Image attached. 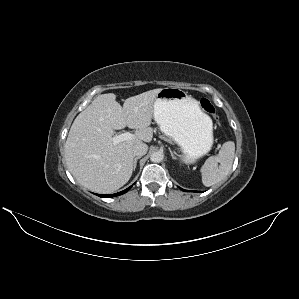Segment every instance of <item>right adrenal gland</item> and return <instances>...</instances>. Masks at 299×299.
Here are the masks:
<instances>
[{
    "label": "right adrenal gland",
    "instance_id": "right-adrenal-gland-1",
    "mask_svg": "<svg viewBox=\"0 0 299 299\" xmlns=\"http://www.w3.org/2000/svg\"><path fill=\"white\" fill-rule=\"evenodd\" d=\"M140 158H141V156H137V157L134 158V162H133V170H134V171H135L136 166H137V161H138V159H140Z\"/></svg>",
    "mask_w": 299,
    "mask_h": 299
}]
</instances>
